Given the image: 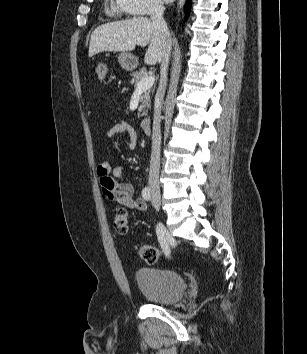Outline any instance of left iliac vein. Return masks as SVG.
I'll return each instance as SVG.
<instances>
[{"mask_svg": "<svg viewBox=\"0 0 307 354\" xmlns=\"http://www.w3.org/2000/svg\"><path fill=\"white\" fill-rule=\"evenodd\" d=\"M152 203H153L154 208H155L156 210H159L160 205L156 203V201H155L154 198H153V200H152Z\"/></svg>", "mask_w": 307, "mask_h": 354, "instance_id": "1", "label": "left iliac vein"}]
</instances>
